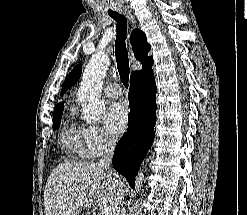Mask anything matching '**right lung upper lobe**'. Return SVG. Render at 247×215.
I'll return each mask as SVG.
<instances>
[{
	"label": "right lung upper lobe",
	"instance_id": "1",
	"mask_svg": "<svg viewBox=\"0 0 247 215\" xmlns=\"http://www.w3.org/2000/svg\"><path fill=\"white\" fill-rule=\"evenodd\" d=\"M130 42L133 48V52L135 54V58L141 61L142 66H145L153 61L152 57L147 56L151 47L147 43L146 36L141 30L139 29L133 30L131 34ZM62 110H63V103L61 102L55 105L54 114L60 113L62 112Z\"/></svg>",
	"mask_w": 247,
	"mask_h": 215
}]
</instances>
